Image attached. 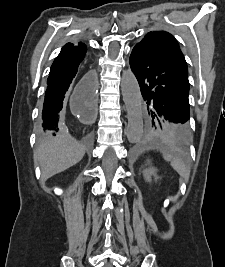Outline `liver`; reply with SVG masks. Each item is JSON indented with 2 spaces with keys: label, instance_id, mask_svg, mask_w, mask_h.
Returning a JSON list of instances; mask_svg holds the SVG:
<instances>
[{
  "label": "liver",
  "instance_id": "1",
  "mask_svg": "<svg viewBox=\"0 0 225 267\" xmlns=\"http://www.w3.org/2000/svg\"><path fill=\"white\" fill-rule=\"evenodd\" d=\"M85 147L68 134L59 135L41 143L34 151V162L45 181L77 164L85 154Z\"/></svg>",
  "mask_w": 225,
  "mask_h": 267
}]
</instances>
